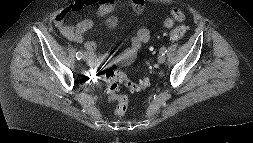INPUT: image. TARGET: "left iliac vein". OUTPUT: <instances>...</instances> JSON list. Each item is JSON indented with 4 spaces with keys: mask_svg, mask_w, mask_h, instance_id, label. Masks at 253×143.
I'll list each match as a JSON object with an SVG mask.
<instances>
[{
    "mask_svg": "<svg viewBox=\"0 0 253 143\" xmlns=\"http://www.w3.org/2000/svg\"><path fill=\"white\" fill-rule=\"evenodd\" d=\"M165 60H166V58H165V56L163 55H160L159 57H158V63H160V64H163L164 62H165Z\"/></svg>",
    "mask_w": 253,
    "mask_h": 143,
    "instance_id": "4c4485c4",
    "label": "left iliac vein"
}]
</instances>
